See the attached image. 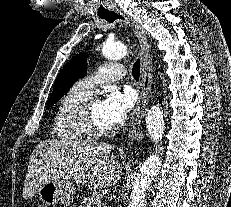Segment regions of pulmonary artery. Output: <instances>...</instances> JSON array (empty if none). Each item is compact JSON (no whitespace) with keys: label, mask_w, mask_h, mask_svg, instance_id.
Masks as SVG:
<instances>
[{"label":"pulmonary artery","mask_w":231,"mask_h":207,"mask_svg":"<svg viewBox=\"0 0 231 207\" xmlns=\"http://www.w3.org/2000/svg\"><path fill=\"white\" fill-rule=\"evenodd\" d=\"M124 75L125 68L122 65L106 63L93 74L80 79L76 85L80 90L89 94L95 85L119 80Z\"/></svg>","instance_id":"e3ab8cb5"}]
</instances>
